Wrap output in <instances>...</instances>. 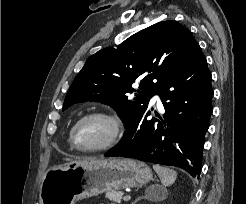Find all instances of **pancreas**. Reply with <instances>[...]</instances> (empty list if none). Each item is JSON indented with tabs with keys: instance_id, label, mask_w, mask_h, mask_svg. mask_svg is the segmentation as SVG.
<instances>
[{
	"instance_id": "1",
	"label": "pancreas",
	"mask_w": 246,
	"mask_h": 204,
	"mask_svg": "<svg viewBox=\"0 0 246 204\" xmlns=\"http://www.w3.org/2000/svg\"><path fill=\"white\" fill-rule=\"evenodd\" d=\"M123 192L122 191H109L106 192L105 197L109 199L110 201L120 203L122 197H123Z\"/></svg>"
}]
</instances>
